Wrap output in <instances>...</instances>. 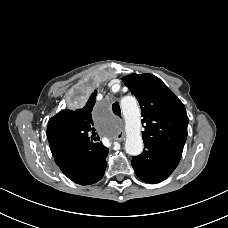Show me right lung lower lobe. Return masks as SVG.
<instances>
[{"mask_svg":"<svg viewBox=\"0 0 228 228\" xmlns=\"http://www.w3.org/2000/svg\"><path fill=\"white\" fill-rule=\"evenodd\" d=\"M55 162L61 171L80 185L99 181L106 169L108 149L98 143H76L51 148Z\"/></svg>","mask_w":228,"mask_h":228,"instance_id":"1","label":"right lung lower lobe"}]
</instances>
